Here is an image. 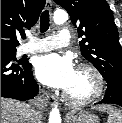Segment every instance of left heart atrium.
<instances>
[{
	"label": "left heart atrium",
	"instance_id": "39dd6f15",
	"mask_svg": "<svg viewBox=\"0 0 122 123\" xmlns=\"http://www.w3.org/2000/svg\"><path fill=\"white\" fill-rule=\"evenodd\" d=\"M35 73L43 84L67 91L74 81L76 70L69 57L49 53L37 58Z\"/></svg>",
	"mask_w": 122,
	"mask_h": 123
}]
</instances>
